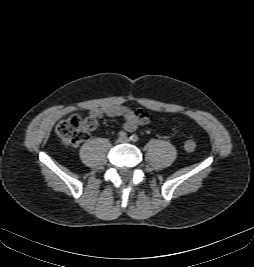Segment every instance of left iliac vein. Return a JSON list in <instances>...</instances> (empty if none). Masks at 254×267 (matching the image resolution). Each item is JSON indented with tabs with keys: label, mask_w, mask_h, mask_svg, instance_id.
<instances>
[{
	"label": "left iliac vein",
	"mask_w": 254,
	"mask_h": 267,
	"mask_svg": "<svg viewBox=\"0 0 254 267\" xmlns=\"http://www.w3.org/2000/svg\"><path fill=\"white\" fill-rule=\"evenodd\" d=\"M121 142H130V139H129V138H123V139L121 140Z\"/></svg>",
	"instance_id": "4c4485c4"
}]
</instances>
